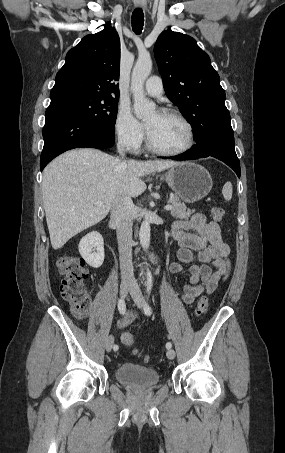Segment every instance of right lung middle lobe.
Masks as SVG:
<instances>
[{
    "instance_id": "right-lung-middle-lobe-1",
    "label": "right lung middle lobe",
    "mask_w": 285,
    "mask_h": 453,
    "mask_svg": "<svg viewBox=\"0 0 285 453\" xmlns=\"http://www.w3.org/2000/svg\"><path fill=\"white\" fill-rule=\"evenodd\" d=\"M55 101L67 104L79 112L95 128L114 135L117 102L112 96L73 93Z\"/></svg>"
}]
</instances>
